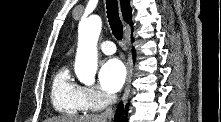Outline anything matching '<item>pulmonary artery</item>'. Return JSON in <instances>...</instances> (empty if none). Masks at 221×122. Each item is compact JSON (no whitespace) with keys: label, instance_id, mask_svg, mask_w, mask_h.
<instances>
[{"label":"pulmonary artery","instance_id":"e3ab8cb5","mask_svg":"<svg viewBox=\"0 0 221 122\" xmlns=\"http://www.w3.org/2000/svg\"><path fill=\"white\" fill-rule=\"evenodd\" d=\"M100 50L107 54V55H111L116 51V47L114 45V43L112 41H103L100 46H99Z\"/></svg>","mask_w":221,"mask_h":122}]
</instances>
